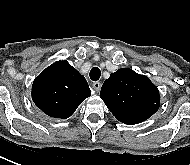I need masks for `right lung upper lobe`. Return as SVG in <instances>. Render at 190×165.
<instances>
[{"mask_svg":"<svg viewBox=\"0 0 190 165\" xmlns=\"http://www.w3.org/2000/svg\"><path fill=\"white\" fill-rule=\"evenodd\" d=\"M91 95L83 75L66 60L46 68L32 85V99L45 114L54 118L70 117L80 103Z\"/></svg>","mask_w":190,"mask_h":165,"instance_id":"obj_1","label":"right lung upper lobe"}]
</instances>
